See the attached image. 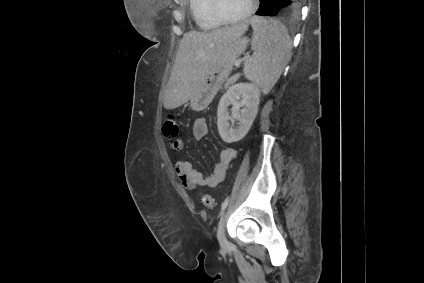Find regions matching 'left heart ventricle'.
Returning a JSON list of instances; mask_svg holds the SVG:
<instances>
[{
  "label": "left heart ventricle",
  "instance_id": "b2bd125f",
  "mask_svg": "<svg viewBox=\"0 0 424 283\" xmlns=\"http://www.w3.org/2000/svg\"><path fill=\"white\" fill-rule=\"evenodd\" d=\"M250 6V0H220L222 13L227 17H238L245 13Z\"/></svg>",
  "mask_w": 424,
  "mask_h": 283
}]
</instances>
